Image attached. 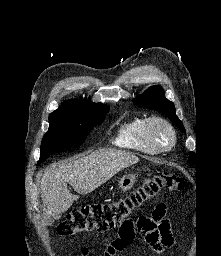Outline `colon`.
I'll use <instances>...</instances> for the list:
<instances>
[{"label":"colon","mask_w":221,"mask_h":256,"mask_svg":"<svg viewBox=\"0 0 221 256\" xmlns=\"http://www.w3.org/2000/svg\"><path fill=\"white\" fill-rule=\"evenodd\" d=\"M184 187L185 181L181 176L159 171L117 200L84 205L73 210L59 223L57 232L61 236H72L85 232L127 229L132 224V213L143 204L162 191H181Z\"/></svg>","instance_id":"colon-1"}]
</instances>
